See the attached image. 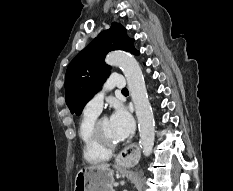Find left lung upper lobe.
Returning a JSON list of instances; mask_svg holds the SVG:
<instances>
[{"instance_id":"obj_1","label":"left lung upper lobe","mask_w":233,"mask_h":191,"mask_svg":"<svg viewBox=\"0 0 233 191\" xmlns=\"http://www.w3.org/2000/svg\"><path fill=\"white\" fill-rule=\"evenodd\" d=\"M112 50L140 54L134 48V39L127 36L126 29L113 22L110 29L101 32L69 64L65 77V100L71 113L80 115L109 76L110 66L105 64L104 58Z\"/></svg>"}]
</instances>
